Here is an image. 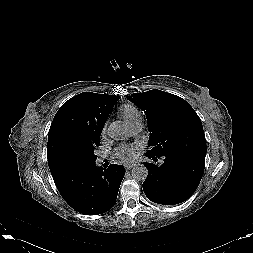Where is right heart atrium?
<instances>
[{"instance_id": "right-heart-atrium-1", "label": "right heart atrium", "mask_w": 253, "mask_h": 253, "mask_svg": "<svg viewBox=\"0 0 253 253\" xmlns=\"http://www.w3.org/2000/svg\"><path fill=\"white\" fill-rule=\"evenodd\" d=\"M102 133H103V134L105 133V127L103 128V131H102Z\"/></svg>"}]
</instances>
